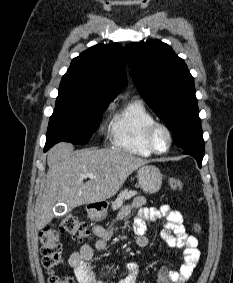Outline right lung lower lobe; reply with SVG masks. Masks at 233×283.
Segmentation results:
<instances>
[{"mask_svg": "<svg viewBox=\"0 0 233 283\" xmlns=\"http://www.w3.org/2000/svg\"><path fill=\"white\" fill-rule=\"evenodd\" d=\"M47 150H48L47 148L44 149V151H47Z\"/></svg>", "mask_w": 233, "mask_h": 283, "instance_id": "right-lung-lower-lobe-1", "label": "right lung lower lobe"}]
</instances>
